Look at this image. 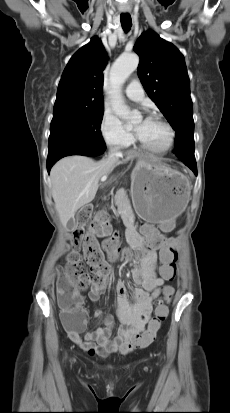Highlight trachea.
<instances>
[{
  "instance_id": "3493384b",
  "label": "trachea",
  "mask_w": 230,
  "mask_h": 413,
  "mask_svg": "<svg viewBox=\"0 0 230 413\" xmlns=\"http://www.w3.org/2000/svg\"><path fill=\"white\" fill-rule=\"evenodd\" d=\"M121 25L125 32H128L132 26V19L128 13H122L120 15Z\"/></svg>"
}]
</instances>
